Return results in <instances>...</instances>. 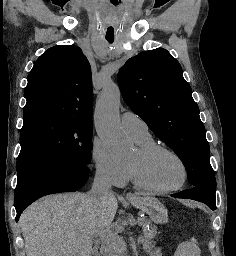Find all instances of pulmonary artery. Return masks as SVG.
Instances as JSON below:
<instances>
[{"label": "pulmonary artery", "mask_w": 236, "mask_h": 256, "mask_svg": "<svg viewBox=\"0 0 236 256\" xmlns=\"http://www.w3.org/2000/svg\"><path fill=\"white\" fill-rule=\"evenodd\" d=\"M122 127L126 133L135 140H140L150 136L145 122L133 112H125L120 117Z\"/></svg>", "instance_id": "pulmonary-artery-1"}]
</instances>
